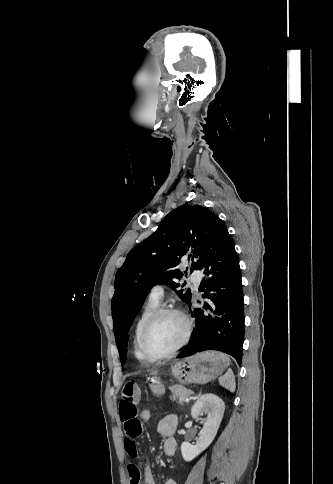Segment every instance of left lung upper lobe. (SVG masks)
<instances>
[{
  "mask_svg": "<svg viewBox=\"0 0 333 484\" xmlns=\"http://www.w3.org/2000/svg\"><path fill=\"white\" fill-rule=\"evenodd\" d=\"M215 217L201 205L184 204L171 211L150 237L128 253L116 273L111 302L121 363L125 361L129 328L153 286L166 284L183 301L191 300L189 289L186 292L178 290L177 280L184 276L178 265L183 257L192 261L198 259ZM195 263H192L191 272Z\"/></svg>",
  "mask_w": 333,
  "mask_h": 484,
  "instance_id": "1",
  "label": "left lung upper lobe"
}]
</instances>
